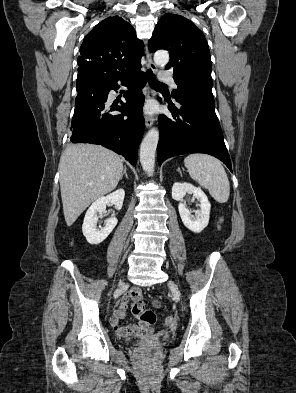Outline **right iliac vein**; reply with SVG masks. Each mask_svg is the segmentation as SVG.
I'll return each instance as SVG.
<instances>
[{
  "label": "right iliac vein",
  "instance_id": "1",
  "mask_svg": "<svg viewBox=\"0 0 296 393\" xmlns=\"http://www.w3.org/2000/svg\"><path fill=\"white\" fill-rule=\"evenodd\" d=\"M123 286H124V281L121 280V281L119 282L118 288H117V290H116V294H117V295L120 294V292H121Z\"/></svg>",
  "mask_w": 296,
  "mask_h": 393
}]
</instances>
